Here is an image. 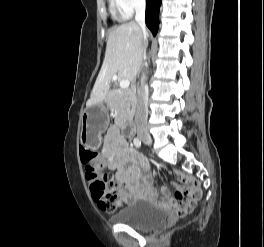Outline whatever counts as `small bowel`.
Segmentation results:
<instances>
[{
	"mask_svg": "<svg viewBox=\"0 0 264 247\" xmlns=\"http://www.w3.org/2000/svg\"><path fill=\"white\" fill-rule=\"evenodd\" d=\"M103 168L116 171L119 183L124 185L120 191L121 196L127 202L133 199L148 197L158 199V195L152 185L150 164L148 161L130 147L116 125L108 128L104 137L101 154L99 158ZM175 176L185 184L177 189L174 196H171L168 189H162V197L165 203L192 197L198 194L201 189L199 182L190 176L176 172Z\"/></svg>",
	"mask_w": 264,
	"mask_h": 247,
	"instance_id": "small-bowel-1",
	"label": "small bowel"
}]
</instances>
